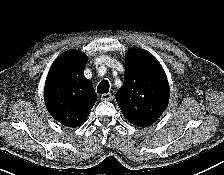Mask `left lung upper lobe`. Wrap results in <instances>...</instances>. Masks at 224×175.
I'll return each mask as SVG.
<instances>
[{"instance_id": "left-lung-upper-lobe-1", "label": "left lung upper lobe", "mask_w": 224, "mask_h": 175, "mask_svg": "<svg viewBox=\"0 0 224 175\" xmlns=\"http://www.w3.org/2000/svg\"><path fill=\"white\" fill-rule=\"evenodd\" d=\"M116 101L124 117L138 127L153 124L169 101V84L157 59L149 52L132 49L126 55L123 86Z\"/></svg>"}]
</instances>
